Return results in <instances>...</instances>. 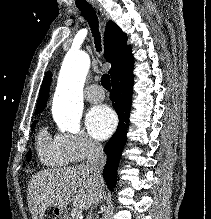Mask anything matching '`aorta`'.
<instances>
[{
	"label": "aorta",
	"mask_w": 211,
	"mask_h": 219,
	"mask_svg": "<svg viewBox=\"0 0 211 219\" xmlns=\"http://www.w3.org/2000/svg\"><path fill=\"white\" fill-rule=\"evenodd\" d=\"M90 60L84 51H69L62 63L54 96V117L63 130L77 133L83 111V87Z\"/></svg>",
	"instance_id": "aorta-1"
}]
</instances>
